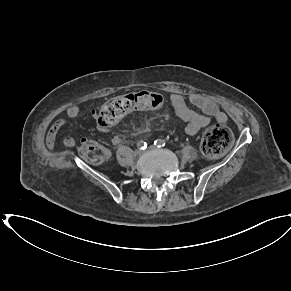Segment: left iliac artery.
Segmentation results:
<instances>
[{
    "label": "left iliac artery",
    "instance_id": "44dca946",
    "mask_svg": "<svg viewBox=\"0 0 291 291\" xmlns=\"http://www.w3.org/2000/svg\"><path fill=\"white\" fill-rule=\"evenodd\" d=\"M154 145L157 147H164L166 145V141L163 139H157L154 141Z\"/></svg>",
    "mask_w": 291,
    "mask_h": 291
}]
</instances>
